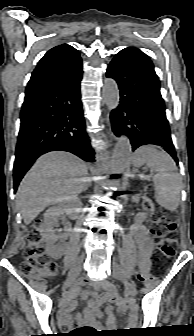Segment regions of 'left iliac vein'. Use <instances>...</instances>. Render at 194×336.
<instances>
[{
  "instance_id": "left-iliac-vein-1",
  "label": "left iliac vein",
  "mask_w": 194,
  "mask_h": 336,
  "mask_svg": "<svg viewBox=\"0 0 194 336\" xmlns=\"http://www.w3.org/2000/svg\"><path fill=\"white\" fill-rule=\"evenodd\" d=\"M111 267H112L113 277L123 282L125 285L126 291L130 295L135 296L137 294V289L133 283L127 281L125 274L123 273L120 265L116 261H112Z\"/></svg>"
}]
</instances>
